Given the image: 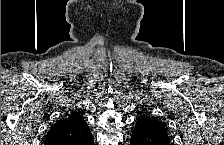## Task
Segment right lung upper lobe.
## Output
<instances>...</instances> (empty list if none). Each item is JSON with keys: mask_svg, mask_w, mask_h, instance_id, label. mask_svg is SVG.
I'll return each instance as SVG.
<instances>
[{"mask_svg": "<svg viewBox=\"0 0 224 145\" xmlns=\"http://www.w3.org/2000/svg\"><path fill=\"white\" fill-rule=\"evenodd\" d=\"M93 136L84 118L71 113L57 121L45 136V145H90Z\"/></svg>", "mask_w": 224, "mask_h": 145, "instance_id": "cb5924a9", "label": "right lung upper lobe"}]
</instances>
